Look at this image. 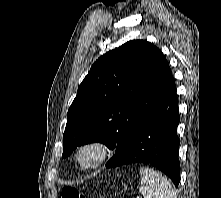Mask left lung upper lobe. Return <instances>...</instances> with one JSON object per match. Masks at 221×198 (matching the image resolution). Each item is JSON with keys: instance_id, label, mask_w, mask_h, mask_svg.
Segmentation results:
<instances>
[{"instance_id": "obj_1", "label": "left lung upper lobe", "mask_w": 221, "mask_h": 198, "mask_svg": "<svg viewBox=\"0 0 221 198\" xmlns=\"http://www.w3.org/2000/svg\"><path fill=\"white\" fill-rule=\"evenodd\" d=\"M170 76L166 58L147 41H129L101 56L68 110L62 158L92 142L118 152L161 97Z\"/></svg>"}]
</instances>
